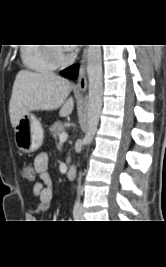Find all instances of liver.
<instances>
[{
	"label": "liver",
	"instance_id": "liver-1",
	"mask_svg": "<svg viewBox=\"0 0 166 267\" xmlns=\"http://www.w3.org/2000/svg\"><path fill=\"white\" fill-rule=\"evenodd\" d=\"M72 84L54 73L18 72L9 104L12 127L31 111H51L60 108L61 117L72 113L74 100L68 98ZM68 98V99H67Z\"/></svg>",
	"mask_w": 166,
	"mask_h": 267
}]
</instances>
